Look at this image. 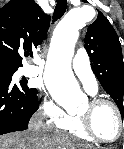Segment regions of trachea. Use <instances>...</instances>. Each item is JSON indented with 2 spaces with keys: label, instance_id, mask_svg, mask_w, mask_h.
I'll list each match as a JSON object with an SVG mask.
<instances>
[{
  "label": "trachea",
  "instance_id": "obj_1",
  "mask_svg": "<svg viewBox=\"0 0 124 149\" xmlns=\"http://www.w3.org/2000/svg\"><path fill=\"white\" fill-rule=\"evenodd\" d=\"M67 9V0H58L54 9L53 21L60 19Z\"/></svg>",
  "mask_w": 124,
  "mask_h": 149
}]
</instances>
